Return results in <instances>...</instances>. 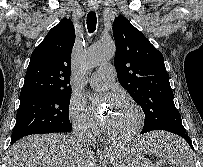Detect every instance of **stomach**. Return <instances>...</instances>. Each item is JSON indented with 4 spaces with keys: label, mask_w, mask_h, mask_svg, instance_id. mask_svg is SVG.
I'll list each match as a JSON object with an SVG mask.
<instances>
[{
    "label": "stomach",
    "mask_w": 203,
    "mask_h": 167,
    "mask_svg": "<svg viewBox=\"0 0 203 167\" xmlns=\"http://www.w3.org/2000/svg\"><path fill=\"white\" fill-rule=\"evenodd\" d=\"M140 151H144L143 146L139 149H128L117 152L112 160L113 167H152L149 160L143 157Z\"/></svg>",
    "instance_id": "stomach-1"
}]
</instances>
